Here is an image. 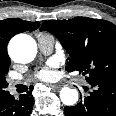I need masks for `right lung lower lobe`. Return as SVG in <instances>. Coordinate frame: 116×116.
I'll return each instance as SVG.
<instances>
[{
	"mask_svg": "<svg viewBox=\"0 0 116 116\" xmlns=\"http://www.w3.org/2000/svg\"><path fill=\"white\" fill-rule=\"evenodd\" d=\"M32 88L26 94L15 99L7 92L0 98V116H29L33 108Z\"/></svg>",
	"mask_w": 116,
	"mask_h": 116,
	"instance_id": "obj_1",
	"label": "right lung lower lobe"
}]
</instances>
